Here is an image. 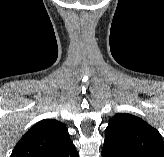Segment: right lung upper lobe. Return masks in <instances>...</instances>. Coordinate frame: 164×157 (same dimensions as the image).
<instances>
[{
  "label": "right lung upper lobe",
  "mask_w": 164,
  "mask_h": 157,
  "mask_svg": "<svg viewBox=\"0 0 164 157\" xmlns=\"http://www.w3.org/2000/svg\"><path fill=\"white\" fill-rule=\"evenodd\" d=\"M72 144L66 126L46 119L31 127L16 144L11 157H52Z\"/></svg>",
  "instance_id": "obj_1"
}]
</instances>
